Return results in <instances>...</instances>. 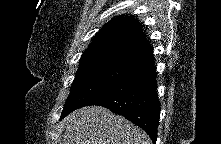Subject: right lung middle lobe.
<instances>
[{
    "mask_svg": "<svg viewBox=\"0 0 221 144\" xmlns=\"http://www.w3.org/2000/svg\"><path fill=\"white\" fill-rule=\"evenodd\" d=\"M145 57L125 52H103L80 60L61 118L86 103L134 69Z\"/></svg>",
    "mask_w": 221,
    "mask_h": 144,
    "instance_id": "obj_1",
    "label": "right lung middle lobe"
}]
</instances>
